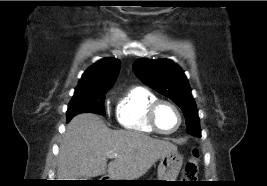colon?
Wrapping results in <instances>:
<instances>
[{
  "label": "colon",
  "instance_id": "colon-1",
  "mask_svg": "<svg viewBox=\"0 0 267 186\" xmlns=\"http://www.w3.org/2000/svg\"><path fill=\"white\" fill-rule=\"evenodd\" d=\"M200 153L197 148L192 150L191 156L185 161L183 168V180L194 182L198 174Z\"/></svg>",
  "mask_w": 267,
  "mask_h": 186
}]
</instances>
